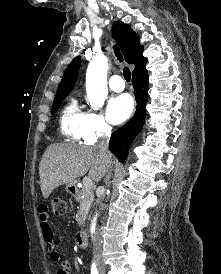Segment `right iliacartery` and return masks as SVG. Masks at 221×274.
I'll list each match as a JSON object with an SVG mask.
<instances>
[{"mask_svg":"<svg viewBox=\"0 0 221 274\" xmlns=\"http://www.w3.org/2000/svg\"><path fill=\"white\" fill-rule=\"evenodd\" d=\"M91 274H99L95 262L92 263Z\"/></svg>","mask_w":221,"mask_h":274,"instance_id":"82829eb1","label":"right iliac artery"}]
</instances>
